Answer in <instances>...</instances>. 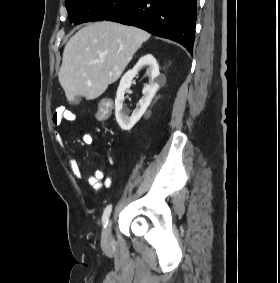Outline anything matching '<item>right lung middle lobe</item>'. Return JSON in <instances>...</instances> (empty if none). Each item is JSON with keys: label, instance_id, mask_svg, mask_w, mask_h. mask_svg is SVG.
<instances>
[{"label": "right lung middle lobe", "instance_id": "dd1d6c3e", "mask_svg": "<svg viewBox=\"0 0 280 283\" xmlns=\"http://www.w3.org/2000/svg\"><path fill=\"white\" fill-rule=\"evenodd\" d=\"M132 0H66L71 23L102 21L119 11Z\"/></svg>", "mask_w": 280, "mask_h": 283}]
</instances>
